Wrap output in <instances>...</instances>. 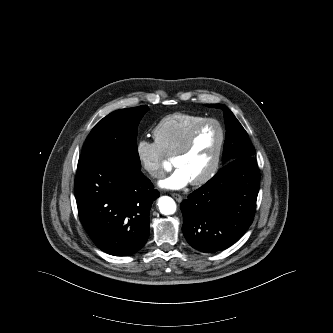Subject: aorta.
<instances>
[{"label":"aorta","mask_w":333,"mask_h":333,"mask_svg":"<svg viewBox=\"0 0 333 333\" xmlns=\"http://www.w3.org/2000/svg\"><path fill=\"white\" fill-rule=\"evenodd\" d=\"M158 207L163 215H171L176 211V203L169 196H162L158 200Z\"/></svg>","instance_id":"aorta-1"}]
</instances>
